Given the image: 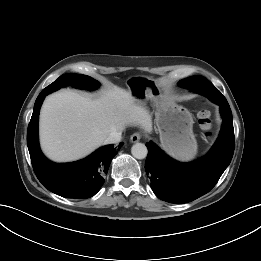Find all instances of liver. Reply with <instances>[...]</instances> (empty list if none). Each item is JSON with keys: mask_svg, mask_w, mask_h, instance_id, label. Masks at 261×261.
I'll return each mask as SVG.
<instances>
[{"mask_svg": "<svg viewBox=\"0 0 261 261\" xmlns=\"http://www.w3.org/2000/svg\"><path fill=\"white\" fill-rule=\"evenodd\" d=\"M128 125H138L149 133L153 130L151 115L130 90L112 87L97 99L71 90L56 92L41 108V148L53 161L77 160Z\"/></svg>", "mask_w": 261, "mask_h": 261, "instance_id": "1", "label": "liver"}]
</instances>
